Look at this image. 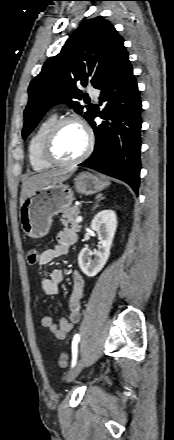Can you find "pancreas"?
<instances>
[{
	"label": "pancreas",
	"mask_w": 174,
	"mask_h": 440,
	"mask_svg": "<svg viewBox=\"0 0 174 440\" xmlns=\"http://www.w3.org/2000/svg\"><path fill=\"white\" fill-rule=\"evenodd\" d=\"M80 214V209L78 206H73L66 210L61 218V223L63 226L68 227L70 225V229L79 232L81 226L76 222V218Z\"/></svg>",
	"instance_id": "1"
}]
</instances>
